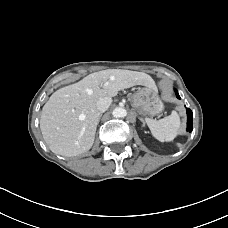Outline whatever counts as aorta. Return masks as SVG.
Instances as JSON below:
<instances>
[{"label": "aorta", "instance_id": "762f6f07", "mask_svg": "<svg viewBox=\"0 0 228 228\" xmlns=\"http://www.w3.org/2000/svg\"><path fill=\"white\" fill-rule=\"evenodd\" d=\"M113 116L116 118H123L127 115V111L123 107H117L113 110Z\"/></svg>", "mask_w": 228, "mask_h": 228}]
</instances>
